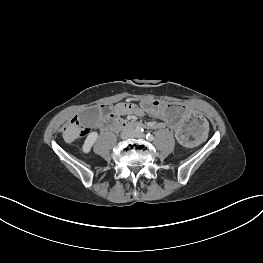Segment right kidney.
<instances>
[{"label": "right kidney", "instance_id": "1", "mask_svg": "<svg viewBox=\"0 0 263 263\" xmlns=\"http://www.w3.org/2000/svg\"><path fill=\"white\" fill-rule=\"evenodd\" d=\"M97 138H98L97 132H92L87 136V138L85 139V142L83 144V147H82L83 153L87 154L90 152V150H91L93 144L95 143V141L97 140Z\"/></svg>", "mask_w": 263, "mask_h": 263}]
</instances>
